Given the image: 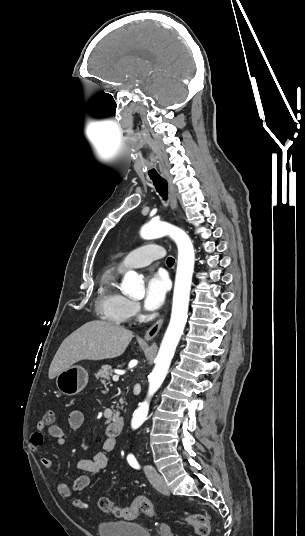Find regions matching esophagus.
<instances>
[{
	"label": "esophagus",
	"instance_id": "esophagus-1",
	"mask_svg": "<svg viewBox=\"0 0 305 536\" xmlns=\"http://www.w3.org/2000/svg\"><path fill=\"white\" fill-rule=\"evenodd\" d=\"M163 178H165V180H167V183H168V190H169V196H170V202H171V207L174 211L177 210L178 208V203H177V197H176V194H175V189H174V185L172 183V178L169 176V175H164ZM163 321H164V317L160 318L159 320H157L145 333V341H149L151 340L152 338H154L157 333L159 332L162 324H163Z\"/></svg>",
	"mask_w": 305,
	"mask_h": 536
}]
</instances>
